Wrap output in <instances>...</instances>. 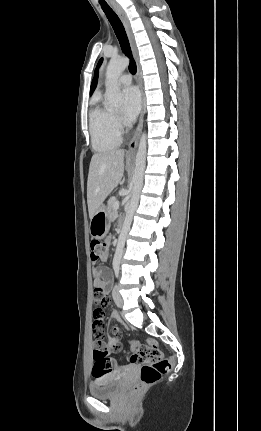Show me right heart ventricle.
<instances>
[{
	"instance_id": "e07e8e85",
	"label": "right heart ventricle",
	"mask_w": 261,
	"mask_h": 431,
	"mask_svg": "<svg viewBox=\"0 0 261 431\" xmlns=\"http://www.w3.org/2000/svg\"><path fill=\"white\" fill-rule=\"evenodd\" d=\"M91 144L95 151L107 153L115 150L121 143L120 131L113 123L112 113L100 105L96 98L89 114Z\"/></svg>"
}]
</instances>
